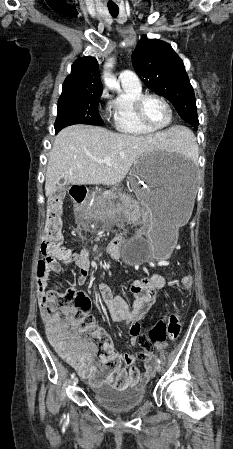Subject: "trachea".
Here are the masks:
<instances>
[{"label": "trachea", "instance_id": "obj_1", "mask_svg": "<svg viewBox=\"0 0 233 449\" xmlns=\"http://www.w3.org/2000/svg\"><path fill=\"white\" fill-rule=\"evenodd\" d=\"M108 9L112 17L116 18L118 16L119 9L117 6H108Z\"/></svg>", "mask_w": 233, "mask_h": 449}]
</instances>
